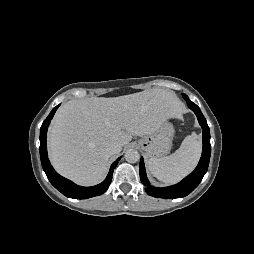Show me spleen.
Here are the masks:
<instances>
[{
	"mask_svg": "<svg viewBox=\"0 0 254 254\" xmlns=\"http://www.w3.org/2000/svg\"><path fill=\"white\" fill-rule=\"evenodd\" d=\"M201 149L200 137L193 133L187 136L179 149L170 156L148 159V170L163 183H177L196 167Z\"/></svg>",
	"mask_w": 254,
	"mask_h": 254,
	"instance_id": "obj_1",
	"label": "spleen"
}]
</instances>
